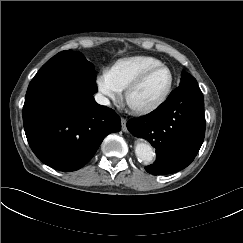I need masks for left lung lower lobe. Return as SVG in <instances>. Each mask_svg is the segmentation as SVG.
Returning <instances> with one entry per match:
<instances>
[{
  "label": "left lung lower lobe",
  "mask_w": 243,
  "mask_h": 243,
  "mask_svg": "<svg viewBox=\"0 0 243 243\" xmlns=\"http://www.w3.org/2000/svg\"><path fill=\"white\" fill-rule=\"evenodd\" d=\"M205 126L203 94L197 83L180 85L150 114L127 122L131 134L156 148V161L145 167L153 175L187 167L203 143Z\"/></svg>",
  "instance_id": "left-lung-lower-lobe-1"
}]
</instances>
